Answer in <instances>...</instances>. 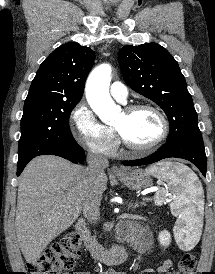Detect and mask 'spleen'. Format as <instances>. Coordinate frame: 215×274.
<instances>
[{"label":"spleen","mask_w":215,"mask_h":274,"mask_svg":"<svg viewBox=\"0 0 215 274\" xmlns=\"http://www.w3.org/2000/svg\"><path fill=\"white\" fill-rule=\"evenodd\" d=\"M146 172L168 182L167 188L156 193L155 203L160 205L170 199L171 212L177 217L175 238L193 246L200 238L204 213V192L197 176L187 166L171 162L150 166Z\"/></svg>","instance_id":"3e777b00"}]
</instances>
